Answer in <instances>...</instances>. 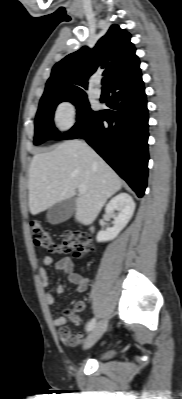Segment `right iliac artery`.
<instances>
[{
    "mask_svg": "<svg viewBox=\"0 0 182 399\" xmlns=\"http://www.w3.org/2000/svg\"><path fill=\"white\" fill-rule=\"evenodd\" d=\"M95 324H96V319L95 318L91 319L86 326L87 332L91 331L95 327Z\"/></svg>",
    "mask_w": 182,
    "mask_h": 399,
    "instance_id": "obj_1",
    "label": "right iliac artery"
}]
</instances>
